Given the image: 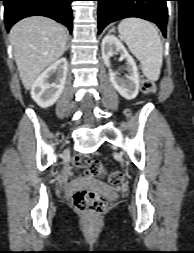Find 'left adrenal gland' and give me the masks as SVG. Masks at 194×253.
I'll return each instance as SVG.
<instances>
[{"instance_id": "obj_1", "label": "left adrenal gland", "mask_w": 194, "mask_h": 253, "mask_svg": "<svg viewBox=\"0 0 194 253\" xmlns=\"http://www.w3.org/2000/svg\"><path fill=\"white\" fill-rule=\"evenodd\" d=\"M112 31H114V28H112L109 32H112Z\"/></svg>"}]
</instances>
